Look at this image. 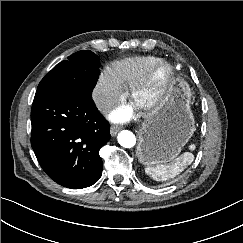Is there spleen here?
I'll use <instances>...</instances> for the list:
<instances>
[{"instance_id": "3e777b00", "label": "spleen", "mask_w": 243, "mask_h": 243, "mask_svg": "<svg viewBox=\"0 0 243 243\" xmlns=\"http://www.w3.org/2000/svg\"><path fill=\"white\" fill-rule=\"evenodd\" d=\"M189 147L191 150L195 149L194 144ZM193 160L194 155L190 152H185L170 163L147 166L145 172L154 180L166 181L180 174Z\"/></svg>"}]
</instances>
